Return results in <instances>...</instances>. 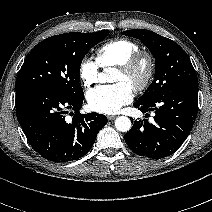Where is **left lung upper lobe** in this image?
Here are the masks:
<instances>
[{"label":"left lung upper lobe","mask_w":212,"mask_h":212,"mask_svg":"<svg viewBox=\"0 0 212 212\" xmlns=\"http://www.w3.org/2000/svg\"><path fill=\"white\" fill-rule=\"evenodd\" d=\"M122 34L141 40L155 58V79L137 102L148 104L176 88L198 84L190 58L174 41L144 29L127 30Z\"/></svg>","instance_id":"left-lung-upper-lobe-1"}]
</instances>
